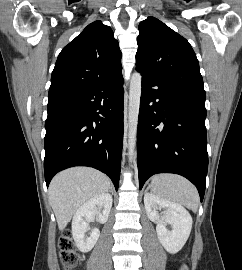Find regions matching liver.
<instances>
[{"label":"liver","instance_id":"obj_1","mask_svg":"<svg viewBox=\"0 0 242 270\" xmlns=\"http://www.w3.org/2000/svg\"><path fill=\"white\" fill-rule=\"evenodd\" d=\"M109 188V178L92 168L74 167L58 173L50 183L48 194L59 230L66 227L81 205Z\"/></svg>","mask_w":242,"mask_h":270}]
</instances>
